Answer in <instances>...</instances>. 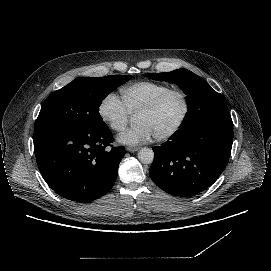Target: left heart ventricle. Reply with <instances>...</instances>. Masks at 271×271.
Segmentation results:
<instances>
[{"label":"left heart ventricle","mask_w":271,"mask_h":271,"mask_svg":"<svg viewBox=\"0 0 271 271\" xmlns=\"http://www.w3.org/2000/svg\"><path fill=\"white\" fill-rule=\"evenodd\" d=\"M183 113V101L178 94L168 97L154 112L136 115V124L145 123L152 130L155 137L170 131L180 120Z\"/></svg>","instance_id":"1"}]
</instances>
